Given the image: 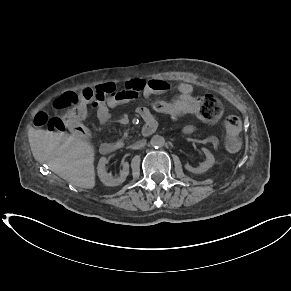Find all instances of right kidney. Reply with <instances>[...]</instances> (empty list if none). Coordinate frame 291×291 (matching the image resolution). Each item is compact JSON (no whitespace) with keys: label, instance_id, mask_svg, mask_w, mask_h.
<instances>
[{"label":"right kidney","instance_id":"right-kidney-1","mask_svg":"<svg viewBox=\"0 0 291 291\" xmlns=\"http://www.w3.org/2000/svg\"><path fill=\"white\" fill-rule=\"evenodd\" d=\"M107 163H108V160L105 157L100 158L98 167H97V172H98V176L101 182L105 186H111V187L122 184L126 180V177L129 174V163L123 162V169L120 171V177L118 178H115L112 176V174L107 173V169H106Z\"/></svg>","mask_w":291,"mask_h":291}]
</instances>
